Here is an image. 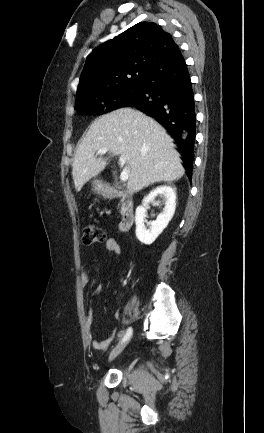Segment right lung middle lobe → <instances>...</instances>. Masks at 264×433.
I'll return each instance as SVG.
<instances>
[{
	"instance_id": "1",
	"label": "right lung middle lobe",
	"mask_w": 264,
	"mask_h": 433,
	"mask_svg": "<svg viewBox=\"0 0 264 433\" xmlns=\"http://www.w3.org/2000/svg\"><path fill=\"white\" fill-rule=\"evenodd\" d=\"M140 93V85H124L111 91L76 101L75 109L83 114L101 115L120 108Z\"/></svg>"
}]
</instances>
